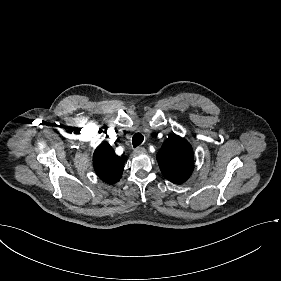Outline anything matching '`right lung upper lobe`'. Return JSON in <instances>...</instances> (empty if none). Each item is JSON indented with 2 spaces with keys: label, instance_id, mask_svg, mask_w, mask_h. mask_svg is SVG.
I'll return each mask as SVG.
<instances>
[{
  "label": "right lung upper lobe",
  "instance_id": "1",
  "mask_svg": "<svg viewBox=\"0 0 281 281\" xmlns=\"http://www.w3.org/2000/svg\"><path fill=\"white\" fill-rule=\"evenodd\" d=\"M93 166L96 174L104 182L114 184L121 178L124 160L115 154L108 143L104 142L94 152Z\"/></svg>",
  "mask_w": 281,
  "mask_h": 281
}]
</instances>
